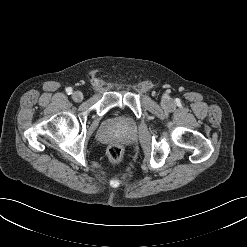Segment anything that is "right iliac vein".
Here are the masks:
<instances>
[{
  "instance_id": "right-iliac-vein-1",
  "label": "right iliac vein",
  "mask_w": 247,
  "mask_h": 247,
  "mask_svg": "<svg viewBox=\"0 0 247 247\" xmlns=\"http://www.w3.org/2000/svg\"><path fill=\"white\" fill-rule=\"evenodd\" d=\"M72 99H73L75 102H80V101H82V99H83V94H82V92H80V91H75V92L72 94Z\"/></svg>"
}]
</instances>
